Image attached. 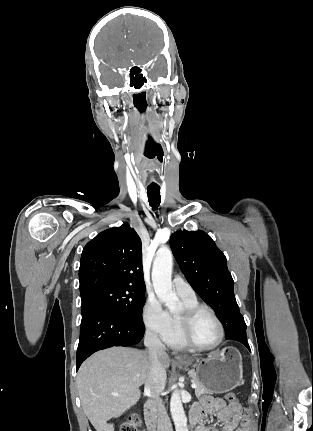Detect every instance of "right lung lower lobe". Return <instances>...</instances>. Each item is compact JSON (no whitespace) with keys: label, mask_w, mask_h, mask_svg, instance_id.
<instances>
[{"label":"right lung lower lobe","mask_w":313,"mask_h":431,"mask_svg":"<svg viewBox=\"0 0 313 431\" xmlns=\"http://www.w3.org/2000/svg\"><path fill=\"white\" fill-rule=\"evenodd\" d=\"M144 332V324L140 325L117 311L103 307L87 311L82 314L76 368L96 351L139 344Z\"/></svg>","instance_id":"right-lung-lower-lobe-1"}]
</instances>
